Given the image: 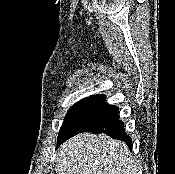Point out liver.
<instances>
[{
	"label": "liver",
	"instance_id": "6515ba94",
	"mask_svg": "<svg viewBox=\"0 0 175 174\" xmlns=\"http://www.w3.org/2000/svg\"><path fill=\"white\" fill-rule=\"evenodd\" d=\"M57 174H137L128 146L105 134L81 133L58 149Z\"/></svg>",
	"mask_w": 175,
	"mask_h": 174
}]
</instances>
